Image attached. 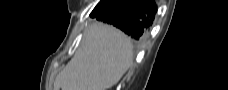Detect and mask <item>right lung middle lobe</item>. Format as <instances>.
Segmentation results:
<instances>
[{"mask_svg": "<svg viewBox=\"0 0 228 90\" xmlns=\"http://www.w3.org/2000/svg\"><path fill=\"white\" fill-rule=\"evenodd\" d=\"M104 1H105V0H102V1L98 4V5H100V6H101V5H102V3H103Z\"/></svg>", "mask_w": 228, "mask_h": 90, "instance_id": "obj_1", "label": "right lung middle lobe"}]
</instances>
